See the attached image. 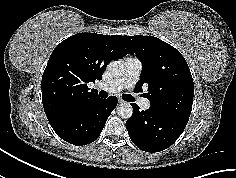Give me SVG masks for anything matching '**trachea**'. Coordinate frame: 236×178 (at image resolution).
<instances>
[{
  "mask_svg": "<svg viewBox=\"0 0 236 178\" xmlns=\"http://www.w3.org/2000/svg\"><path fill=\"white\" fill-rule=\"evenodd\" d=\"M100 97L107 98L108 94L105 91L102 90V91H100ZM122 98L125 101H128V102H133L134 101V98L131 95H129V94L122 95Z\"/></svg>",
  "mask_w": 236,
  "mask_h": 178,
  "instance_id": "3493384b",
  "label": "trachea"
}]
</instances>
